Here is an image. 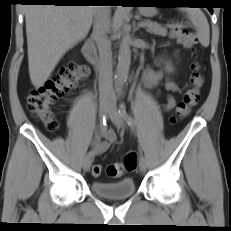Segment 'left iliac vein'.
Wrapping results in <instances>:
<instances>
[{"label":"left iliac vein","mask_w":231,"mask_h":231,"mask_svg":"<svg viewBox=\"0 0 231 231\" xmlns=\"http://www.w3.org/2000/svg\"><path fill=\"white\" fill-rule=\"evenodd\" d=\"M108 115L112 123L117 128H121L123 126V117L119 114L117 110L116 98L113 94L110 96V101L108 103ZM139 168L142 172L146 171L147 169V161L143 155L140 156Z\"/></svg>","instance_id":"left-iliac-vein-1"}]
</instances>
